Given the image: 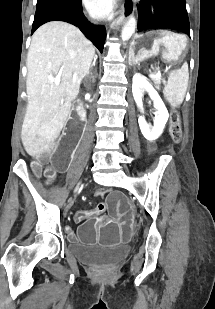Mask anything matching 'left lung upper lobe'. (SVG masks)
I'll return each mask as SVG.
<instances>
[{
	"mask_svg": "<svg viewBox=\"0 0 215 309\" xmlns=\"http://www.w3.org/2000/svg\"><path fill=\"white\" fill-rule=\"evenodd\" d=\"M138 31L179 29L190 36L185 0H142L138 6Z\"/></svg>",
	"mask_w": 215,
	"mask_h": 309,
	"instance_id": "5c2ea615",
	"label": "left lung upper lobe"
}]
</instances>
